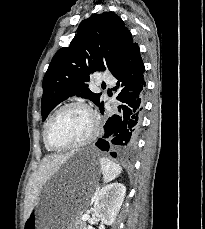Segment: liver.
<instances>
[{"label":"liver","instance_id":"1","mask_svg":"<svg viewBox=\"0 0 205 229\" xmlns=\"http://www.w3.org/2000/svg\"><path fill=\"white\" fill-rule=\"evenodd\" d=\"M74 152L65 155H51L43 158L38 170L31 176L24 207V220L34 209L43 185L59 170Z\"/></svg>","mask_w":205,"mask_h":229}]
</instances>
